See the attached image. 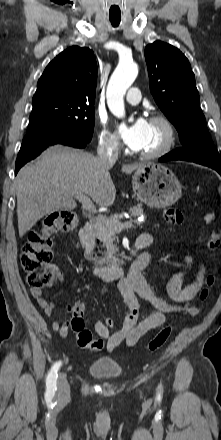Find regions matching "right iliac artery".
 Listing matches in <instances>:
<instances>
[{"label": "right iliac artery", "mask_w": 221, "mask_h": 440, "mask_svg": "<svg viewBox=\"0 0 221 440\" xmlns=\"http://www.w3.org/2000/svg\"><path fill=\"white\" fill-rule=\"evenodd\" d=\"M60 366H61V362L60 361L56 362L52 366V368H51V370H50V372H49V374L47 376V380H46V387H47L46 388V396L49 397V398H52L55 395V392L57 390L56 382H57L58 370H59Z\"/></svg>", "instance_id": "82829eb1"}]
</instances>
